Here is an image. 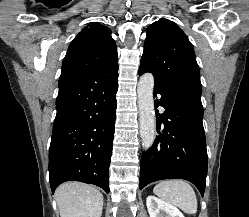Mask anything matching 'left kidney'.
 Listing matches in <instances>:
<instances>
[{"label":"left kidney","instance_id":"1","mask_svg":"<svg viewBox=\"0 0 249 217\" xmlns=\"http://www.w3.org/2000/svg\"><path fill=\"white\" fill-rule=\"evenodd\" d=\"M146 204L150 217H185L176 206L156 196L149 195Z\"/></svg>","mask_w":249,"mask_h":217}]
</instances>
